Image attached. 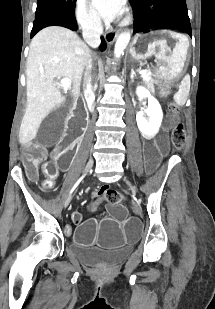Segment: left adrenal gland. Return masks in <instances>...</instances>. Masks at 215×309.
Wrapping results in <instances>:
<instances>
[{
    "instance_id": "1",
    "label": "left adrenal gland",
    "mask_w": 215,
    "mask_h": 309,
    "mask_svg": "<svg viewBox=\"0 0 215 309\" xmlns=\"http://www.w3.org/2000/svg\"><path fill=\"white\" fill-rule=\"evenodd\" d=\"M135 76H137V74H136L134 68H131V72H130L131 82H134Z\"/></svg>"
}]
</instances>
